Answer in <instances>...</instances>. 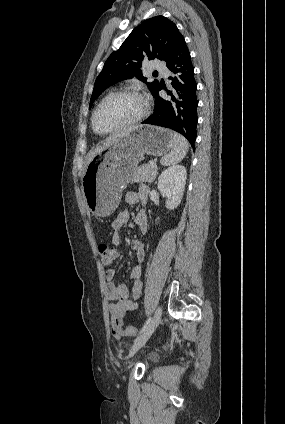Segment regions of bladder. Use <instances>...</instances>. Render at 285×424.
<instances>
[{"label":"bladder","mask_w":285,"mask_h":424,"mask_svg":"<svg viewBox=\"0 0 285 424\" xmlns=\"http://www.w3.org/2000/svg\"><path fill=\"white\" fill-rule=\"evenodd\" d=\"M151 357H152V358H156V355H155V354H152V355H151Z\"/></svg>","instance_id":"1"}]
</instances>
